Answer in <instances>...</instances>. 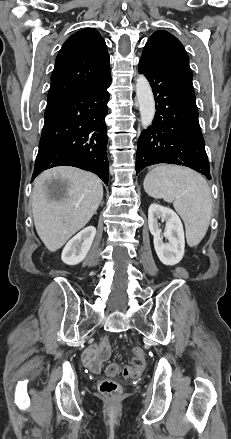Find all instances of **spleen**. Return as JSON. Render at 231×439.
Segmentation results:
<instances>
[{"label": "spleen", "mask_w": 231, "mask_h": 439, "mask_svg": "<svg viewBox=\"0 0 231 439\" xmlns=\"http://www.w3.org/2000/svg\"><path fill=\"white\" fill-rule=\"evenodd\" d=\"M143 186L149 196L173 202L185 223L188 244H199L208 230L212 213L206 180L185 167L160 165L146 175Z\"/></svg>", "instance_id": "obj_1"}]
</instances>
